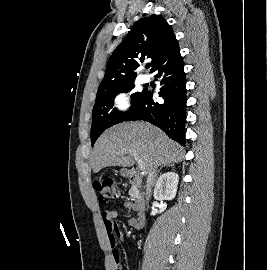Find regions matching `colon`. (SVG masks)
<instances>
[{"label":"colon","mask_w":267,"mask_h":270,"mask_svg":"<svg viewBox=\"0 0 267 270\" xmlns=\"http://www.w3.org/2000/svg\"><path fill=\"white\" fill-rule=\"evenodd\" d=\"M94 187L98 192L99 201L101 204H107L120 196V188L112 178L102 177L95 181ZM116 260L118 270L121 267V262L118 253L116 252Z\"/></svg>","instance_id":"5ec220e1"}]
</instances>
